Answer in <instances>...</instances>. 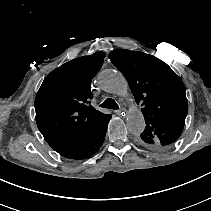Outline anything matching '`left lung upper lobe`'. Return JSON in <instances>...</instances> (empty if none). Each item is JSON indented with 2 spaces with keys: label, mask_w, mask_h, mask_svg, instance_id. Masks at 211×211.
Wrapping results in <instances>:
<instances>
[{
  "label": "left lung upper lobe",
  "mask_w": 211,
  "mask_h": 211,
  "mask_svg": "<svg viewBox=\"0 0 211 211\" xmlns=\"http://www.w3.org/2000/svg\"><path fill=\"white\" fill-rule=\"evenodd\" d=\"M109 58L142 106L144 146L158 151L174 143L182 134L188 112L182 80L166 63L140 51L115 50Z\"/></svg>",
  "instance_id": "left-lung-upper-lobe-1"
}]
</instances>
